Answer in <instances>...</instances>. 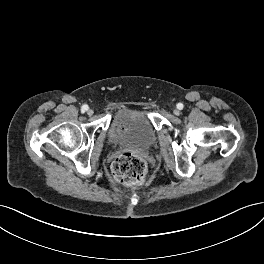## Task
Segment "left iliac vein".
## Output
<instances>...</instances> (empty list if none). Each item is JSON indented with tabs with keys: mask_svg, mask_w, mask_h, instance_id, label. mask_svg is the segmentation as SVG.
I'll return each instance as SVG.
<instances>
[{
	"mask_svg": "<svg viewBox=\"0 0 264 264\" xmlns=\"http://www.w3.org/2000/svg\"><path fill=\"white\" fill-rule=\"evenodd\" d=\"M173 113L175 114V115H180V111L178 110V109H175L174 111H173Z\"/></svg>",
	"mask_w": 264,
	"mask_h": 264,
	"instance_id": "4c4485c4",
	"label": "left iliac vein"
}]
</instances>
